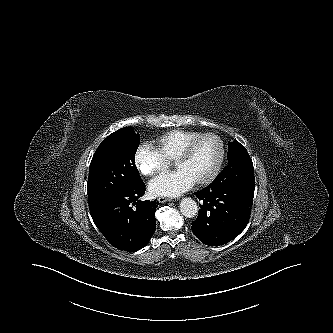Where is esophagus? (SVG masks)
<instances>
[{
	"mask_svg": "<svg viewBox=\"0 0 333 333\" xmlns=\"http://www.w3.org/2000/svg\"><path fill=\"white\" fill-rule=\"evenodd\" d=\"M158 201L160 203H164V202H168V201H172V198H168V197H159Z\"/></svg>",
	"mask_w": 333,
	"mask_h": 333,
	"instance_id": "obj_1",
	"label": "esophagus"
}]
</instances>
